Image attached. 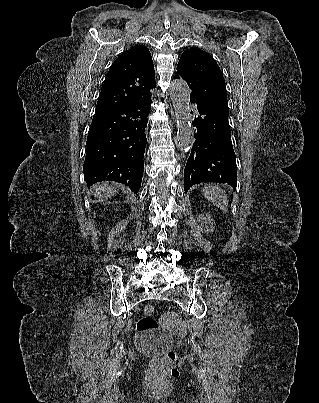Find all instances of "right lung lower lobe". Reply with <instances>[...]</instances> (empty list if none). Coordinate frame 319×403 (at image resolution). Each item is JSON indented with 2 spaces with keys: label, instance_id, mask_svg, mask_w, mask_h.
I'll return each mask as SVG.
<instances>
[{
  "label": "right lung lower lobe",
  "instance_id": "obj_1",
  "mask_svg": "<svg viewBox=\"0 0 319 403\" xmlns=\"http://www.w3.org/2000/svg\"><path fill=\"white\" fill-rule=\"evenodd\" d=\"M150 105L148 98L121 109L95 113L83 166L87 184L109 180L126 184L134 193L139 191Z\"/></svg>",
  "mask_w": 319,
  "mask_h": 403
}]
</instances>
